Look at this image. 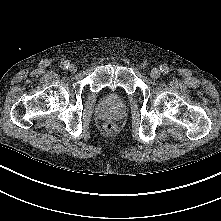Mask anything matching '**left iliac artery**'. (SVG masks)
Masks as SVG:
<instances>
[{"label": "left iliac artery", "instance_id": "44dca946", "mask_svg": "<svg viewBox=\"0 0 221 221\" xmlns=\"http://www.w3.org/2000/svg\"><path fill=\"white\" fill-rule=\"evenodd\" d=\"M160 71L163 73V74H167L169 72V69L168 67L166 66H161L160 67Z\"/></svg>", "mask_w": 221, "mask_h": 221}]
</instances>
